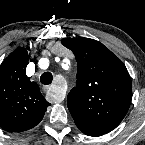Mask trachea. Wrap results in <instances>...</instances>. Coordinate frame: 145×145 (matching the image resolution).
<instances>
[{
    "instance_id": "trachea-1",
    "label": "trachea",
    "mask_w": 145,
    "mask_h": 145,
    "mask_svg": "<svg viewBox=\"0 0 145 145\" xmlns=\"http://www.w3.org/2000/svg\"><path fill=\"white\" fill-rule=\"evenodd\" d=\"M52 80H53V75L50 72H45L40 77V81L44 85L51 84Z\"/></svg>"
}]
</instances>
